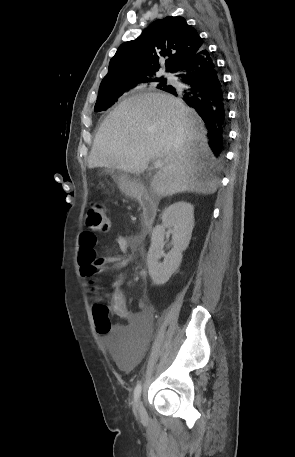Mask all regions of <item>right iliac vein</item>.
<instances>
[{
  "instance_id": "obj_1",
  "label": "right iliac vein",
  "mask_w": 295,
  "mask_h": 457,
  "mask_svg": "<svg viewBox=\"0 0 295 457\" xmlns=\"http://www.w3.org/2000/svg\"><path fill=\"white\" fill-rule=\"evenodd\" d=\"M139 411H140V412H142V411H143V407H142V405H140Z\"/></svg>"
}]
</instances>
